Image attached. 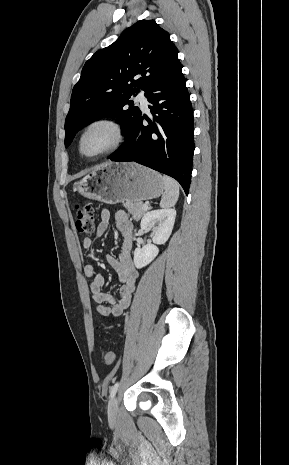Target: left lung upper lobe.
Listing matches in <instances>:
<instances>
[{
    "label": "left lung upper lobe",
    "instance_id": "left-lung-upper-lobe-1",
    "mask_svg": "<svg viewBox=\"0 0 289 465\" xmlns=\"http://www.w3.org/2000/svg\"><path fill=\"white\" fill-rule=\"evenodd\" d=\"M177 54L168 32L154 20L138 21L113 44L97 51L85 63L73 88L65 121V147L81 128L104 116L121 119V132L126 138L141 115L130 97L139 89L153 87L181 66Z\"/></svg>",
    "mask_w": 289,
    "mask_h": 465
}]
</instances>
